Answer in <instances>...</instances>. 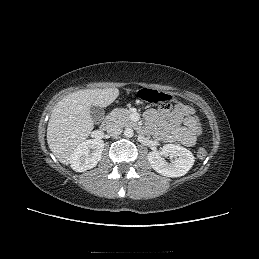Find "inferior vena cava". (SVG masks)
I'll return each mask as SVG.
<instances>
[{
    "mask_svg": "<svg viewBox=\"0 0 259 259\" xmlns=\"http://www.w3.org/2000/svg\"><path fill=\"white\" fill-rule=\"evenodd\" d=\"M107 133L110 136H118L122 133V126L116 123L109 124L107 127Z\"/></svg>",
    "mask_w": 259,
    "mask_h": 259,
    "instance_id": "inferior-vena-cava-1",
    "label": "inferior vena cava"
}]
</instances>
